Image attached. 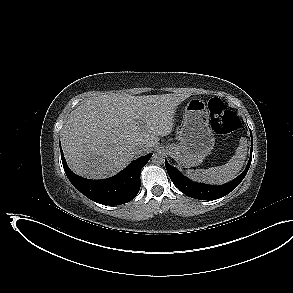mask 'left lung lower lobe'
<instances>
[{
	"instance_id": "obj_1",
	"label": "left lung lower lobe",
	"mask_w": 293,
	"mask_h": 293,
	"mask_svg": "<svg viewBox=\"0 0 293 293\" xmlns=\"http://www.w3.org/2000/svg\"><path fill=\"white\" fill-rule=\"evenodd\" d=\"M252 143V134H251ZM253 146V144H251ZM253 147H251V156L248 161L246 169L234 180L221 185L213 186L207 184L195 183L183 176L175 167L171 166L165 161V166L168 171L169 177L173 181L174 185L185 195L199 199V200H215L226 196L232 190H234L246 176L252 159Z\"/></svg>"
}]
</instances>
